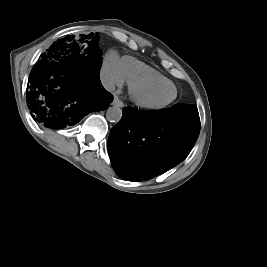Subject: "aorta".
Instances as JSON below:
<instances>
[{"mask_svg": "<svg viewBox=\"0 0 267 267\" xmlns=\"http://www.w3.org/2000/svg\"><path fill=\"white\" fill-rule=\"evenodd\" d=\"M122 117V109L118 106L109 107L106 111V118L111 122H119Z\"/></svg>", "mask_w": 267, "mask_h": 267, "instance_id": "obj_1", "label": "aorta"}]
</instances>
